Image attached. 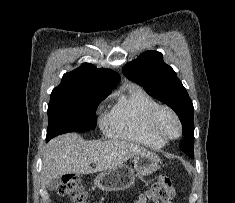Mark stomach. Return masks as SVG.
Here are the masks:
<instances>
[{
  "mask_svg": "<svg viewBox=\"0 0 235 203\" xmlns=\"http://www.w3.org/2000/svg\"><path fill=\"white\" fill-rule=\"evenodd\" d=\"M159 157L148 150L134 156V169L127 165H120L111 170L100 173L94 180L95 186L103 191H119L130 188L136 176H147L159 167Z\"/></svg>",
  "mask_w": 235,
  "mask_h": 203,
  "instance_id": "0dacf381",
  "label": "stomach"
}]
</instances>
